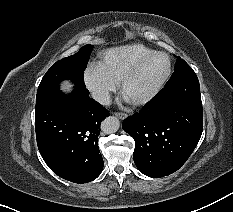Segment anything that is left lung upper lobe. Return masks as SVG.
I'll return each mask as SVG.
<instances>
[{"label":"left lung upper lobe","instance_id":"5c2ea615","mask_svg":"<svg viewBox=\"0 0 233 212\" xmlns=\"http://www.w3.org/2000/svg\"><path fill=\"white\" fill-rule=\"evenodd\" d=\"M177 61L174 68V73L172 74L169 81L166 83V85H169L170 83L176 81L177 79L181 77H185L188 75H196L193 69L180 57H176Z\"/></svg>","mask_w":233,"mask_h":212}]
</instances>
